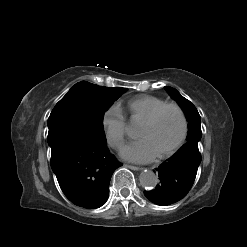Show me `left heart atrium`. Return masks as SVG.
Instances as JSON below:
<instances>
[{"label":"left heart atrium","mask_w":247,"mask_h":247,"mask_svg":"<svg viewBox=\"0 0 247 247\" xmlns=\"http://www.w3.org/2000/svg\"><path fill=\"white\" fill-rule=\"evenodd\" d=\"M120 155L128 161L147 163L156 157V152L146 139L132 141L122 147Z\"/></svg>","instance_id":"1"}]
</instances>
